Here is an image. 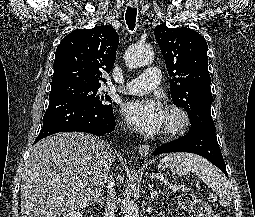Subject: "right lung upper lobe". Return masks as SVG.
I'll use <instances>...</instances> for the list:
<instances>
[{
    "mask_svg": "<svg viewBox=\"0 0 255 217\" xmlns=\"http://www.w3.org/2000/svg\"><path fill=\"white\" fill-rule=\"evenodd\" d=\"M119 43L111 26L77 29L63 38L56 49L52 87L80 84L100 87L110 73Z\"/></svg>",
    "mask_w": 255,
    "mask_h": 217,
    "instance_id": "obj_1",
    "label": "right lung upper lobe"
}]
</instances>
